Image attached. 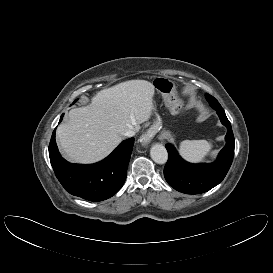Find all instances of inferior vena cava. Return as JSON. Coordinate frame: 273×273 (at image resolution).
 Instances as JSON below:
<instances>
[{"mask_svg": "<svg viewBox=\"0 0 273 273\" xmlns=\"http://www.w3.org/2000/svg\"><path fill=\"white\" fill-rule=\"evenodd\" d=\"M124 136L126 137H133L135 135V130L134 129H127L124 133Z\"/></svg>", "mask_w": 273, "mask_h": 273, "instance_id": "1", "label": "inferior vena cava"}]
</instances>
